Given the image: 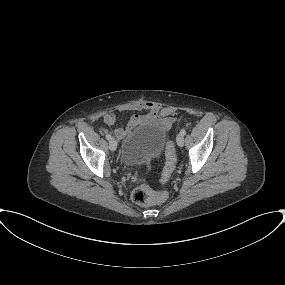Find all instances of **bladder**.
Listing matches in <instances>:
<instances>
[{"instance_id": "31cf9c89", "label": "bladder", "mask_w": 285, "mask_h": 285, "mask_svg": "<svg viewBox=\"0 0 285 285\" xmlns=\"http://www.w3.org/2000/svg\"><path fill=\"white\" fill-rule=\"evenodd\" d=\"M167 134L164 129L154 124H141L122 142L121 161L133 166L161 154Z\"/></svg>"}]
</instances>
